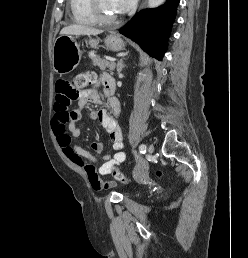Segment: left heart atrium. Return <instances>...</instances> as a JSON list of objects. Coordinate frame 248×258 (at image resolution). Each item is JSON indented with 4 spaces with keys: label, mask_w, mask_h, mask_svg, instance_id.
<instances>
[{
    "label": "left heart atrium",
    "mask_w": 248,
    "mask_h": 258,
    "mask_svg": "<svg viewBox=\"0 0 248 258\" xmlns=\"http://www.w3.org/2000/svg\"><path fill=\"white\" fill-rule=\"evenodd\" d=\"M136 0H112L114 9L117 13L122 14L129 11Z\"/></svg>",
    "instance_id": "39dd6f15"
}]
</instances>
